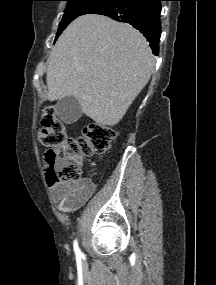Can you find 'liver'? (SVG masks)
<instances>
[{"label":"liver","mask_w":216,"mask_h":285,"mask_svg":"<svg viewBox=\"0 0 216 285\" xmlns=\"http://www.w3.org/2000/svg\"><path fill=\"white\" fill-rule=\"evenodd\" d=\"M155 67L148 42L130 25L88 14L59 37L49 59L48 100L75 97L86 116L116 125Z\"/></svg>","instance_id":"obj_1"}]
</instances>
